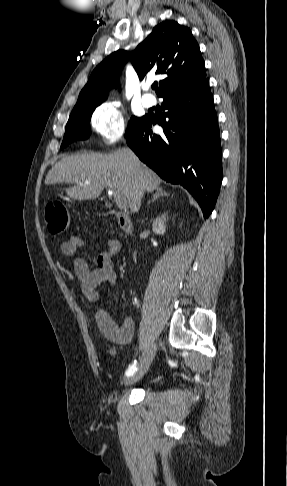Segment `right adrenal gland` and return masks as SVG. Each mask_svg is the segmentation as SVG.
Returning a JSON list of instances; mask_svg holds the SVG:
<instances>
[{
	"mask_svg": "<svg viewBox=\"0 0 287 486\" xmlns=\"http://www.w3.org/2000/svg\"><path fill=\"white\" fill-rule=\"evenodd\" d=\"M169 195L170 194L167 193L162 187L156 188V192L153 195V198L150 201H148V204H150L151 202L156 201L161 196H169Z\"/></svg>",
	"mask_w": 287,
	"mask_h": 486,
	"instance_id": "obj_1",
	"label": "right adrenal gland"
}]
</instances>
